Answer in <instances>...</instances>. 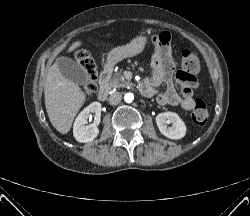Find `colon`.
<instances>
[{"instance_id": "colon-1", "label": "colon", "mask_w": 250, "mask_h": 216, "mask_svg": "<svg viewBox=\"0 0 250 216\" xmlns=\"http://www.w3.org/2000/svg\"><path fill=\"white\" fill-rule=\"evenodd\" d=\"M75 57L87 75V83L84 87L85 92L92 94L96 89L95 63L90 54L84 49L77 50ZM180 57L182 73L186 76H194L200 69V62L197 55L190 49H183ZM207 119V107L202 100L197 99L191 112V120L196 125H203Z\"/></svg>"}]
</instances>
